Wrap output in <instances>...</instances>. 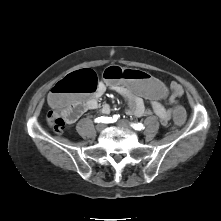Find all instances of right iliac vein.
<instances>
[{
    "label": "right iliac vein",
    "mask_w": 221,
    "mask_h": 221,
    "mask_svg": "<svg viewBox=\"0 0 221 221\" xmlns=\"http://www.w3.org/2000/svg\"><path fill=\"white\" fill-rule=\"evenodd\" d=\"M105 127H106L105 124L100 123V124H98V125L96 126V130H97L98 132H102V131L105 129Z\"/></svg>",
    "instance_id": "right-iliac-vein-1"
}]
</instances>
